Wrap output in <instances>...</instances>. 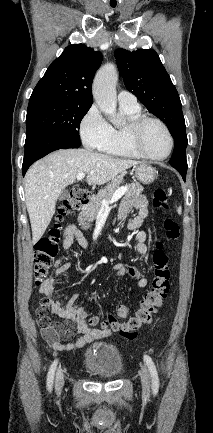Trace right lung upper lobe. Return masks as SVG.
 <instances>
[{
  "label": "right lung upper lobe",
  "instance_id": "right-lung-upper-lobe-1",
  "mask_svg": "<svg viewBox=\"0 0 213 433\" xmlns=\"http://www.w3.org/2000/svg\"><path fill=\"white\" fill-rule=\"evenodd\" d=\"M102 54L84 44L66 47L34 88L30 99H57L92 105V80Z\"/></svg>",
  "mask_w": 213,
  "mask_h": 433
}]
</instances>
